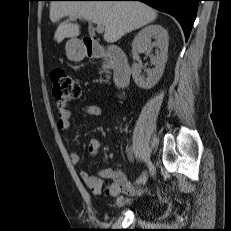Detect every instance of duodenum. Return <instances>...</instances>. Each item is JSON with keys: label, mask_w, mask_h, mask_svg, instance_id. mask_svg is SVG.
<instances>
[{"label": "duodenum", "mask_w": 231, "mask_h": 231, "mask_svg": "<svg viewBox=\"0 0 231 231\" xmlns=\"http://www.w3.org/2000/svg\"><path fill=\"white\" fill-rule=\"evenodd\" d=\"M83 53L91 58L105 57L111 63L117 88L122 89L129 84L131 69L121 48L114 45L104 48L97 41L87 37L83 39Z\"/></svg>", "instance_id": "obj_1"}]
</instances>
